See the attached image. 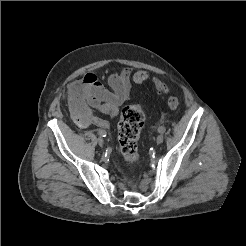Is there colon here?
Here are the masks:
<instances>
[{"label": "colon", "instance_id": "colon-1", "mask_svg": "<svg viewBox=\"0 0 246 246\" xmlns=\"http://www.w3.org/2000/svg\"><path fill=\"white\" fill-rule=\"evenodd\" d=\"M149 79L147 71H138L133 75L136 84H142ZM157 92L166 98L168 107L175 111L179 108V98L169 95L167 84L158 77L153 78ZM145 121V115L139 105H128L121 111L118 125V140L125 161L135 164L139 159L138 137Z\"/></svg>", "mask_w": 246, "mask_h": 246}]
</instances>
